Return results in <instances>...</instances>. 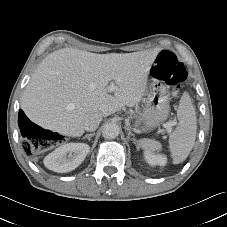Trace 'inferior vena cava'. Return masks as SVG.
Wrapping results in <instances>:
<instances>
[{
    "label": "inferior vena cava",
    "mask_w": 227,
    "mask_h": 227,
    "mask_svg": "<svg viewBox=\"0 0 227 227\" xmlns=\"http://www.w3.org/2000/svg\"><path fill=\"white\" fill-rule=\"evenodd\" d=\"M102 120V115L99 113H92L87 115L84 122V128L87 131H94L98 128Z\"/></svg>",
    "instance_id": "inferior-vena-cava-1"
}]
</instances>
